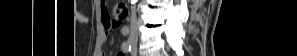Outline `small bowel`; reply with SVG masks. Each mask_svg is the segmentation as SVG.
Masks as SVG:
<instances>
[{"mask_svg":"<svg viewBox=\"0 0 297 56\" xmlns=\"http://www.w3.org/2000/svg\"><path fill=\"white\" fill-rule=\"evenodd\" d=\"M99 13H100L101 24L98 30L94 56H105L103 45L107 40L108 33L109 31L119 26L120 22L126 17L127 12L124 6L119 5L115 8L113 12V16H110L105 3L100 2ZM117 56H124V54L118 53Z\"/></svg>","mask_w":297,"mask_h":56,"instance_id":"c3829d8e","label":"small bowel"}]
</instances>
